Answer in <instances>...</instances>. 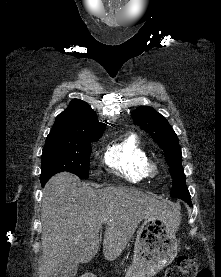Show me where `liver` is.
Masks as SVG:
<instances>
[{"label": "liver", "instance_id": "obj_1", "mask_svg": "<svg viewBox=\"0 0 221 277\" xmlns=\"http://www.w3.org/2000/svg\"><path fill=\"white\" fill-rule=\"evenodd\" d=\"M165 203L133 188L82 186L73 174L54 175L43 189V232L39 277H49L62 262L91 261L99 249L105 225L103 254L115 260L124 251L138 224L153 216H169Z\"/></svg>", "mask_w": 221, "mask_h": 277}]
</instances>
